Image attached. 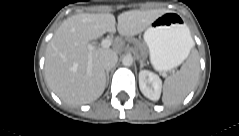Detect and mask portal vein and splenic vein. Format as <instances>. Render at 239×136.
I'll list each match as a JSON object with an SVG mask.
<instances>
[{
	"label": "portal vein and splenic vein",
	"mask_w": 239,
	"mask_h": 136,
	"mask_svg": "<svg viewBox=\"0 0 239 136\" xmlns=\"http://www.w3.org/2000/svg\"><path fill=\"white\" fill-rule=\"evenodd\" d=\"M111 44H112V41L110 39H107V38L103 39L101 41V47L102 48H109L111 46ZM94 48L95 47L93 45L88 46V49L90 51V53H89V66L91 65V61H92L91 54H92V51L94 50Z\"/></svg>",
	"instance_id": "1"
}]
</instances>
